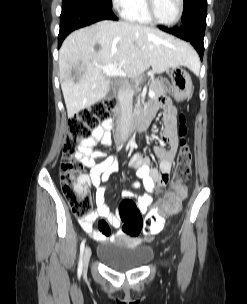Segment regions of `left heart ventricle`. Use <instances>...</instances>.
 <instances>
[{"label":"left heart ventricle","instance_id":"left-heart-ventricle-1","mask_svg":"<svg viewBox=\"0 0 247 304\" xmlns=\"http://www.w3.org/2000/svg\"><path fill=\"white\" fill-rule=\"evenodd\" d=\"M157 17L163 22L174 20L179 11V0H154Z\"/></svg>","mask_w":247,"mask_h":304}]
</instances>
